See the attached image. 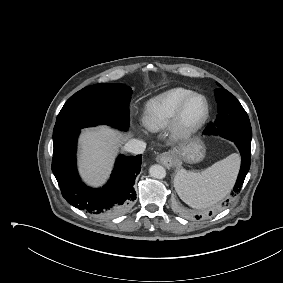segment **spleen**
Wrapping results in <instances>:
<instances>
[{
	"label": "spleen",
	"mask_w": 283,
	"mask_h": 283,
	"mask_svg": "<svg viewBox=\"0 0 283 283\" xmlns=\"http://www.w3.org/2000/svg\"><path fill=\"white\" fill-rule=\"evenodd\" d=\"M239 164V156L234 153L202 172H187L181 169L174 179L175 189L181 200L190 207L207 208L230 192Z\"/></svg>",
	"instance_id": "obj_1"
}]
</instances>
